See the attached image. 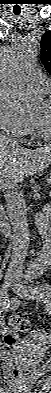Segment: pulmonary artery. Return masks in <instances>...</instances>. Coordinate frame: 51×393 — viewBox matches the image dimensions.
<instances>
[{
	"label": "pulmonary artery",
	"mask_w": 51,
	"mask_h": 393,
	"mask_svg": "<svg viewBox=\"0 0 51 393\" xmlns=\"http://www.w3.org/2000/svg\"><path fill=\"white\" fill-rule=\"evenodd\" d=\"M31 80L33 82V85L43 93H46L49 91V80L48 78L40 73V72H35L31 75Z\"/></svg>",
	"instance_id": "e3ab8cb5"
}]
</instances>
